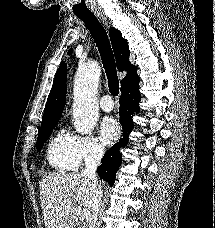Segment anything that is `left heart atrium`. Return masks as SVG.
Masks as SVG:
<instances>
[{
	"instance_id": "obj_1",
	"label": "left heart atrium",
	"mask_w": 215,
	"mask_h": 228,
	"mask_svg": "<svg viewBox=\"0 0 215 228\" xmlns=\"http://www.w3.org/2000/svg\"><path fill=\"white\" fill-rule=\"evenodd\" d=\"M120 125L117 120L111 116L105 117L100 124V133L103 140L110 144L120 136Z\"/></svg>"
}]
</instances>
